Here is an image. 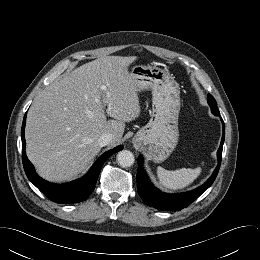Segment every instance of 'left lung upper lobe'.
Returning a JSON list of instances; mask_svg holds the SVG:
<instances>
[{"mask_svg":"<svg viewBox=\"0 0 260 260\" xmlns=\"http://www.w3.org/2000/svg\"><path fill=\"white\" fill-rule=\"evenodd\" d=\"M208 104L210 105L211 111L214 115H219L220 112L217 108V104H216V100L214 99V97L210 94H208Z\"/></svg>","mask_w":260,"mask_h":260,"instance_id":"obj_1","label":"left lung upper lobe"}]
</instances>
